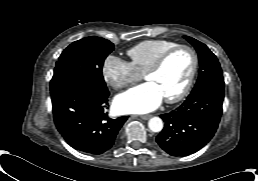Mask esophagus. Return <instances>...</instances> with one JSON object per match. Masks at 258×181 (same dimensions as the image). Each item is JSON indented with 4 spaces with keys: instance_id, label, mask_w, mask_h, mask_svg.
Returning <instances> with one entry per match:
<instances>
[{
    "instance_id": "esophagus-1",
    "label": "esophagus",
    "mask_w": 258,
    "mask_h": 181,
    "mask_svg": "<svg viewBox=\"0 0 258 181\" xmlns=\"http://www.w3.org/2000/svg\"><path fill=\"white\" fill-rule=\"evenodd\" d=\"M151 117H152V115H142V116H140V118L143 119V120H148Z\"/></svg>"
}]
</instances>
